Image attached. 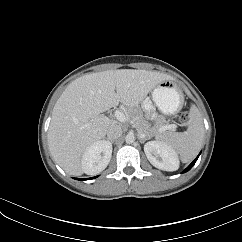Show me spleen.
<instances>
[{
  "label": "spleen",
  "instance_id": "3e777b00",
  "mask_svg": "<svg viewBox=\"0 0 242 242\" xmlns=\"http://www.w3.org/2000/svg\"><path fill=\"white\" fill-rule=\"evenodd\" d=\"M188 128L185 132L166 133L159 136L158 141L173 148L183 163L191 161L200 150L204 138V125L201 114L192 105L188 114Z\"/></svg>",
  "mask_w": 242,
  "mask_h": 242
}]
</instances>
